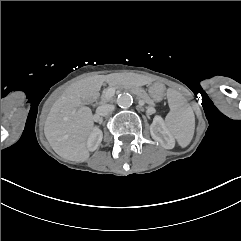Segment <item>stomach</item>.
<instances>
[{"instance_id":"stomach-1","label":"stomach","mask_w":241,"mask_h":241,"mask_svg":"<svg viewBox=\"0 0 241 241\" xmlns=\"http://www.w3.org/2000/svg\"><path fill=\"white\" fill-rule=\"evenodd\" d=\"M165 85L160 82L153 83L148 90L150 97L155 101H161L165 95Z\"/></svg>"}]
</instances>
